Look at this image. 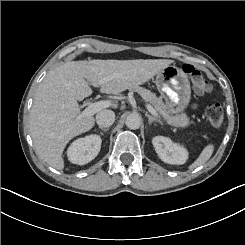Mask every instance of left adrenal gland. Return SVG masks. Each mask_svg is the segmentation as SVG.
<instances>
[{
    "label": "left adrenal gland",
    "instance_id": "1",
    "mask_svg": "<svg viewBox=\"0 0 245 245\" xmlns=\"http://www.w3.org/2000/svg\"><path fill=\"white\" fill-rule=\"evenodd\" d=\"M145 115L147 116L149 123H151L152 121H157L159 123H162V121H160L158 118H156L155 116H152V115L148 114L147 112L145 113Z\"/></svg>",
    "mask_w": 245,
    "mask_h": 245
}]
</instances>
